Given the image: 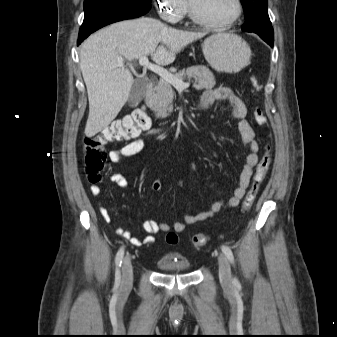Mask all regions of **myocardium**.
Instances as JSON below:
<instances>
[{"instance_id": "1", "label": "myocardium", "mask_w": 337, "mask_h": 337, "mask_svg": "<svg viewBox=\"0 0 337 337\" xmlns=\"http://www.w3.org/2000/svg\"><path fill=\"white\" fill-rule=\"evenodd\" d=\"M234 2V13L233 15L224 22H211L202 17H200L197 12L195 11L191 0H188V12L190 18L197 24L209 28V29H216V30H224L233 26L241 17L243 12V3L242 0H233Z\"/></svg>"}]
</instances>
